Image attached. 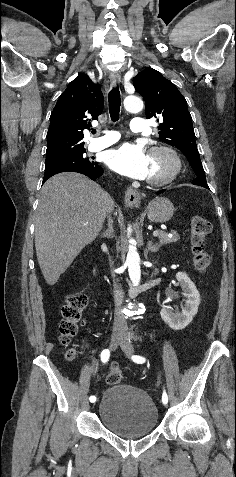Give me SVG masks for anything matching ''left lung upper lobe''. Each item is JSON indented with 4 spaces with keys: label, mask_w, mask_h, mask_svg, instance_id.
Listing matches in <instances>:
<instances>
[{
    "label": "left lung upper lobe",
    "mask_w": 236,
    "mask_h": 477,
    "mask_svg": "<svg viewBox=\"0 0 236 477\" xmlns=\"http://www.w3.org/2000/svg\"><path fill=\"white\" fill-rule=\"evenodd\" d=\"M133 85L146 102V117H155L158 121L160 119V139L175 146L187 157L197 176L192 183L208 186L185 98L171 81L150 67L133 78Z\"/></svg>",
    "instance_id": "obj_1"
}]
</instances>
